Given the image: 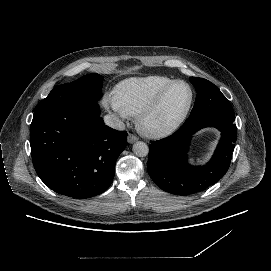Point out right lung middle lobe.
Returning a JSON list of instances; mask_svg holds the SVG:
<instances>
[{
  "mask_svg": "<svg viewBox=\"0 0 271 271\" xmlns=\"http://www.w3.org/2000/svg\"><path fill=\"white\" fill-rule=\"evenodd\" d=\"M102 81L101 75L91 73L71 83L59 85L36 106L34 115L63 106L89 105L99 108L97 101L102 95Z\"/></svg>",
  "mask_w": 271,
  "mask_h": 271,
  "instance_id": "1",
  "label": "right lung middle lobe"
}]
</instances>
